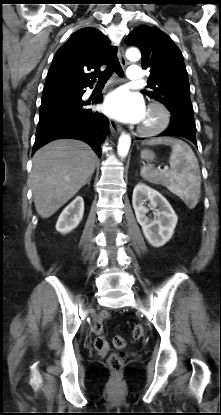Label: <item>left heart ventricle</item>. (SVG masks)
Wrapping results in <instances>:
<instances>
[{
    "label": "left heart ventricle",
    "mask_w": 221,
    "mask_h": 415,
    "mask_svg": "<svg viewBox=\"0 0 221 415\" xmlns=\"http://www.w3.org/2000/svg\"><path fill=\"white\" fill-rule=\"evenodd\" d=\"M158 120V113L155 110H146L145 116L141 121L142 125L151 126L154 125Z\"/></svg>",
    "instance_id": "obj_1"
}]
</instances>
